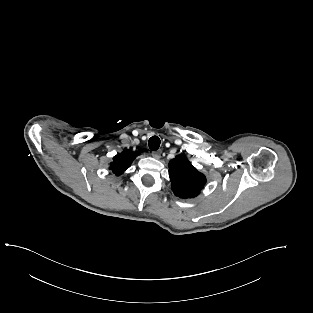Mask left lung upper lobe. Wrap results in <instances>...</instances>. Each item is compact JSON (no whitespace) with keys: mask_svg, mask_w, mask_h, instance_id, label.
<instances>
[{"mask_svg":"<svg viewBox=\"0 0 313 313\" xmlns=\"http://www.w3.org/2000/svg\"><path fill=\"white\" fill-rule=\"evenodd\" d=\"M169 177L174 194L180 198H194L206 184V177L179 155L169 162Z\"/></svg>","mask_w":313,"mask_h":313,"instance_id":"obj_1","label":"left lung upper lobe"}]
</instances>
